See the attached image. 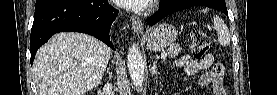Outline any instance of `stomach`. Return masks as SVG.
I'll return each mask as SVG.
<instances>
[{
	"instance_id": "1",
	"label": "stomach",
	"mask_w": 277,
	"mask_h": 95,
	"mask_svg": "<svg viewBox=\"0 0 277 95\" xmlns=\"http://www.w3.org/2000/svg\"><path fill=\"white\" fill-rule=\"evenodd\" d=\"M178 32L174 26L166 23H160L150 28L145 34L147 48L151 51H160L172 45Z\"/></svg>"
}]
</instances>
